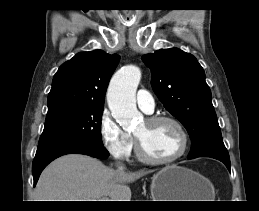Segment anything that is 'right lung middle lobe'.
<instances>
[{"label":"right lung middle lobe","mask_w":259,"mask_h":211,"mask_svg":"<svg viewBox=\"0 0 259 211\" xmlns=\"http://www.w3.org/2000/svg\"><path fill=\"white\" fill-rule=\"evenodd\" d=\"M102 114L103 107H91L74 110L57 118L46 120L38 145L74 140L103 146L101 139Z\"/></svg>","instance_id":"obj_1"}]
</instances>
